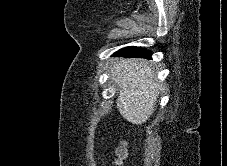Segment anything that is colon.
Returning <instances> with one entry per match:
<instances>
[{"label":"colon","mask_w":227,"mask_h":166,"mask_svg":"<svg viewBox=\"0 0 227 166\" xmlns=\"http://www.w3.org/2000/svg\"><path fill=\"white\" fill-rule=\"evenodd\" d=\"M127 149L125 143H121L117 149V165L122 166L127 161Z\"/></svg>","instance_id":"colon-1"}]
</instances>
